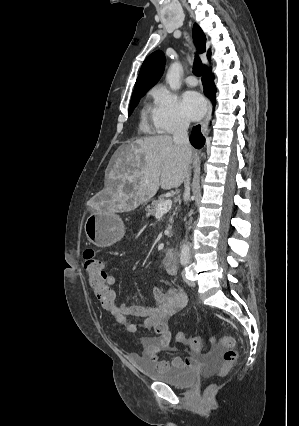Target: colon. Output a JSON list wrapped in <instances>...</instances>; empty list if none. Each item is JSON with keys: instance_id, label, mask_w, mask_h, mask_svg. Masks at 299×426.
Wrapping results in <instances>:
<instances>
[{"instance_id": "colon-1", "label": "colon", "mask_w": 299, "mask_h": 426, "mask_svg": "<svg viewBox=\"0 0 299 426\" xmlns=\"http://www.w3.org/2000/svg\"><path fill=\"white\" fill-rule=\"evenodd\" d=\"M84 270L88 275V285L93 291L96 301L104 308H111L116 301V294L112 286L107 282L106 271L103 269L102 262L99 259L95 250L88 248L83 253ZM175 341L180 344L189 343L192 350L198 352L203 348V340L200 337H193L189 340L186 338L184 331L177 332ZM225 348L223 353L224 365L220 374L226 371L236 362L237 350L235 348V339L230 336H225L221 340ZM213 387L207 389V393L212 391Z\"/></svg>"}]
</instances>
